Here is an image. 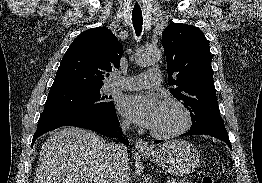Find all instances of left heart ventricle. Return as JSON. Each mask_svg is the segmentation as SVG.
Returning a JSON list of instances; mask_svg holds the SVG:
<instances>
[{
  "instance_id": "1",
  "label": "left heart ventricle",
  "mask_w": 262,
  "mask_h": 183,
  "mask_svg": "<svg viewBox=\"0 0 262 183\" xmlns=\"http://www.w3.org/2000/svg\"><path fill=\"white\" fill-rule=\"evenodd\" d=\"M184 123L182 111L174 105H162L153 131L166 134L179 129Z\"/></svg>"
}]
</instances>
